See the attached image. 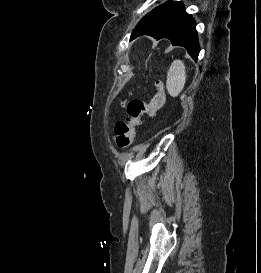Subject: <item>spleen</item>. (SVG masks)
<instances>
[{
  "instance_id": "spleen-1",
  "label": "spleen",
  "mask_w": 261,
  "mask_h": 273,
  "mask_svg": "<svg viewBox=\"0 0 261 273\" xmlns=\"http://www.w3.org/2000/svg\"><path fill=\"white\" fill-rule=\"evenodd\" d=\"M186 83L185 65L181 60H174L167 72L166 88L172 97H177Z\"/></svg>"
}]
</instances>
